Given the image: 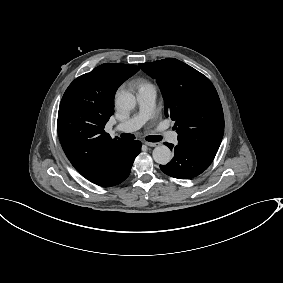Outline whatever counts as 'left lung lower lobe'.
Here are the masks:
<instances>
[{"instance_id": "obj_1", "label": "left lung lower lobe", "mask_w": 283, "mask_h": 283, "mask_svg": "<svg viewBox=\"0 0 283 283\" xmlns=\"http://www.w3.org/2000/svg\"><path fill=\"white\" fill-rule=\"evenodd\" d=\"M174 150V158L166 165H160L161 170L174 178L191 179L204 172L212 163L215 153L207 152L178 142L177 146L164 143Z\"/></svg>"}]
</instances>
